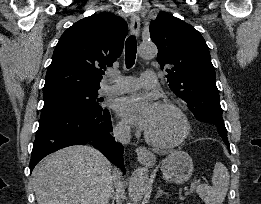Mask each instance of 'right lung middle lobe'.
<instances>
[{"label":"right lung middle lobe","instance_id":"obj_1","mask_svg":"<svg viewBox=\"0 0 261 204\" xmlns=\"http://www.w3.org/2000/svg\"><path fill=\"white\" fill-rule=\"evenodd\" d=\"M97 90L87 91H60L44 94L42 110L62 106H99Z\"/></svg>","mask_w":261,"mask_h":204}]
</instances>
